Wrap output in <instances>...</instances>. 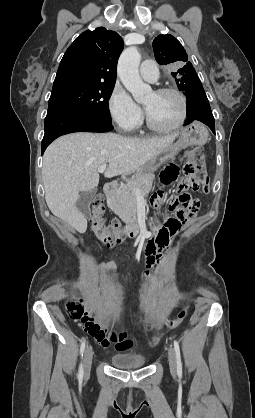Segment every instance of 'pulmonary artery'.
Segmentation results:
<instances>
[{
  "instance_id": "pulmonary-artery-1",
  "label": "pulmonary artery",
  "mask_w": 255,
  "mask_h": 418,
  "mask_svg": "<svg viewBox=\"0 0 255 418\" xmlns=\"http://www.w3.org/2000/svg\"><path fill=\"white\" fill-rule=\"evenodd\" d=\"M141 77L149 82H156L159 76L158 68L155 62L151 60H145L140 66Z\"/></svg>"
}]
</instances>
